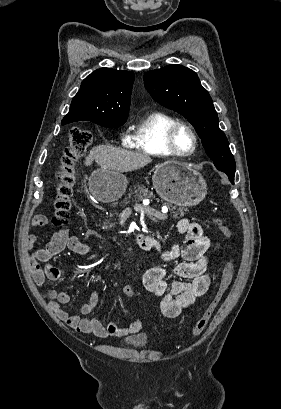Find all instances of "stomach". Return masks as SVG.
Returning <instances> with one entry per match:
<instances>
[{"mask_svg": "<svg viewBox=\"0 0 281 409\" xmlns=\"http://www.w3.org/2000/svg\"><path fill=\"white\" fill-rule=\"evenodd\" d=\"M153 186L170 205L194 207L207 194V184L200 172L188 162L165 160L155 166ZM127 178L119 170L97 168L89 176V190L100 202L118 200L125 192Z\"/></svg>", "mask_w": 281, "mask_h": 409, "instance_id": "obj_1", "label": "stomach"}]
</instances>
